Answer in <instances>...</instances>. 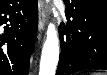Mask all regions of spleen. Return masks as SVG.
<instances>
[{"mask_svg":"<svg viewBox=\"0 0 107 75\" xmlns=\"http://www.w3.org/2000/svg\"><path fill=\"white\" fill-rule=\"evenodd\" d=\"M92 75H100L99 73H93Z\"/></svg>","mask_w":107,"mask_h":75,"instance_id":"spleen-1","label":"spleen"}]
</instances>
